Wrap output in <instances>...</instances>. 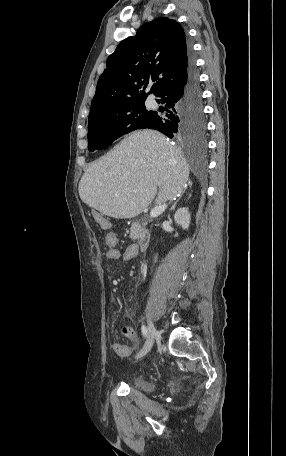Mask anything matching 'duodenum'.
<instances>
[{"label":"duodenum","mask_w":286,"mask_h":456,"mask_svg":"<svg viewBox=\"0 0 286 456\" xmlns=\"http://www.w3.org/2000/svg\"><path fill=\"white\" fill-rule=\"evenodd\" d=\"M151 242V233L149 229L143 225L140 224L138 226V247L140 250L146 249Z\"/></svg>","instance_id":"1"}]
</instances>
